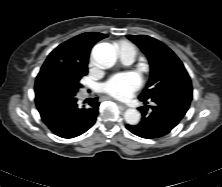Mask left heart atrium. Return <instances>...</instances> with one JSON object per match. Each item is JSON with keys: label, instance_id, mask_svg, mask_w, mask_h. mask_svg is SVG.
<instances>
[{"label": "left heart atrium", "instance_id": "1", "mask_svg": "<svg viewBox=\"0 0 222 187\" xmlns=\"http://www.w3.org/2000/svg\"><path fill=\"white\" fill-rule=\"evenodd\" d=\"M141 86L140 78L134 73L113 76L104 86V91L118 99H128Z\"/></svg>", "mask_w": 222, "mask_h": 187}]
</instances>
